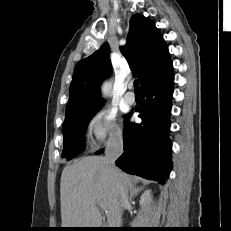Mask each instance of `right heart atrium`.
I'll list each match as a JSON object with an SVG mask.
<instances>
[{
  "label": "right heart atrium",
  "mask_w": 231,
  "mask_h": 231,
  "mask_svg": "<svg viewBox=\"0 0 231 231\" xmlns=\"http://www.w3.org/2000/svg\"><path fill=\"white\" fill-rule=\"evenodd\" d=\"M85 135L94 147L121 140L122 133L115 113L107 108L96 110L87 120Z\"/></svg>",
  "instance_id": "right-heart-atrium-1"
}]
</instances>
